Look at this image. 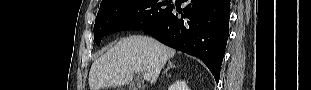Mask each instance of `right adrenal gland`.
<instances>
[{"mask_svg":"<svg viewBox=\"0 0 311 90\" xmlns=\"http://www.w3.org/2000/svg\"><path fill=\"white\" fill-rule=\"evenodd\" d=\"M174 66L169 62L168 67L165 69L164 73H166L170 68H173Z\"/></svg>","mask_w":311,"mask_h":90,"instance_id":"obj_1","label":"right adrenal gland"}]
</instances>
